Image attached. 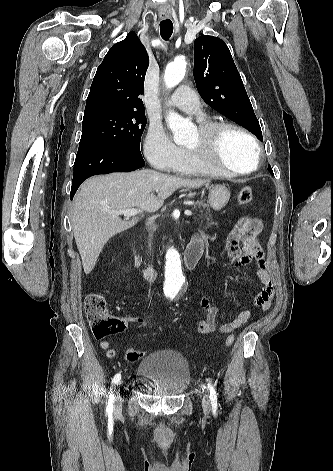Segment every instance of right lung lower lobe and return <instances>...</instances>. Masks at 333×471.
I'll list each match as a JSON object with an SVG mask.
<instances>
[{"mask_svg":"<svg viewBox=\"0 0 333 471\" xmlns=\"http://www.w3.org/2000/svg\"><path fill=\"white\" fill-rule=\"evenodd\" d=\"M145 165L142 155L107 145L79 147L75 163L70 199L87 178L111 172H130Z\"/></svg>","mask_w":333,"mask_h":471,"instance_id":"obj_1","label":"right lung lower lobe"}]
</instances>
